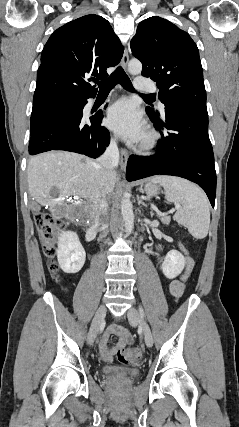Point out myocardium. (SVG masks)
<instances>
[{"label": "myocardium", "instance_id": "f54148a6", "mask_svg": "<svg viewBox=\"0 0 239 427\" xmlns=\"http://www.w3.org/2000/svg\"><path fill=\"white\" fill-rule=\"evenodd\" d=\"M159 143V134L154 130H147L138 143V150L143 153L152 152Z\"/></svg>", "mask_w": 239, "mask_h": 427}]
</instances>
